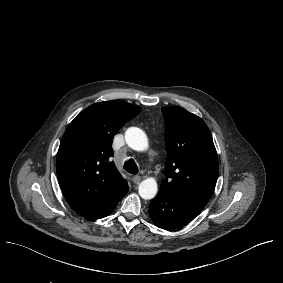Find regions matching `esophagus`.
<instances>
[{
  "mask_svg": "<svg viewBox=\"0 0 283 283\" xmlns=\"http://www.w3.org/2000/svg\"><path fill=\"white\" fill-rule=\"evenodd\" d=\"M142 180V178L138 175L133 176L132 181L133 183H139Z\"/></svg>",
  "mask_w": 283,
  "mask_h": 283,
  "instance_id": "34e87169",
  "label": "esophagus"
}]
</instances>
